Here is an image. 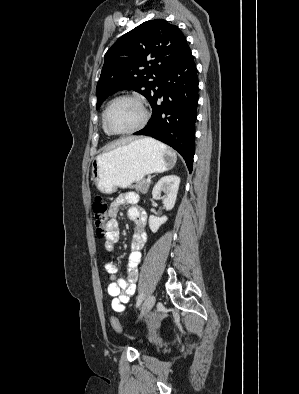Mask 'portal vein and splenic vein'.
<instances>
[{
    "instance_id": "portal-vein-and-splenic-vein-1",
    "label": "portal vein and splenic vein",
    "mask_w": 299,
    "mask_h": 394,
    "mask_svg": "<svg viewBox=\"0 0 299 394\" xmlns=\"http://www.w3.org/2000/svg\"><path fill=\"white\" fill-rule=\"evenodd\" d=\"M146 182H147V183H150V182H151V180H150V179H146Z\"/></svg>"
}]
</instances>
